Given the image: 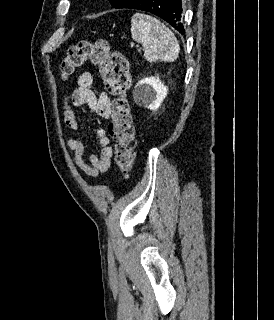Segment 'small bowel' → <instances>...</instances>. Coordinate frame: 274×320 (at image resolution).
<instances>
[{
    "instance_id": "small-bowel-1",
    "label": "small bowel",
    "mask_w": 274,
    "mask_h": 320,
    "mask_svg": "<svg viewBox=\"0 0 274 320\" xmlns=\"http://www.w3.org/2000/svg\"><path fill=\"white\" fill-rule=\"evenodd\" d=\"M93 74L90 71H83L78 77L77 88L63 101L64 122L72 131L79 130V122L71 105L82 107L87 105L101 121L108 120L111 116V100L107 93L96 94L93 90ZM98 142L101 147L99 156L89 155L85 159L84 141L81 137H68L67 148L73 164L90 177H97L106 172L114 153L111 140L103 128L97 131Z\"/></svg>"
}]
</instances>
